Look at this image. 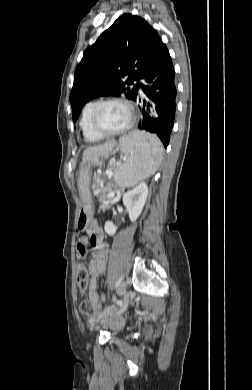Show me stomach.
Segmentation results:
<instances>
[{"label": "stomach", "instance_id": "0dacf381", "mask_svg": "<svg viewBox=\"0 0 252 390\" xmlns=\"http://www.w3.org/2000/svg\"><path fill=\"white\" fill-rule=\"evenodd\" d=\"M115 147L110 143L106 148L87 150L83 156V163L80 170L79 189L82 207L79 211L78 224L88 225L93 218V204L90 194L91 170L95 166L102 165L104 159L108 158Z\"/></svg>", "mask_w": 252, "mask_h": 390}]
</instances>
